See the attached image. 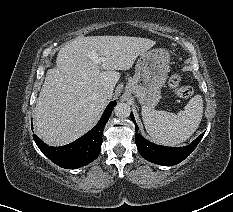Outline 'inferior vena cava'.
<instances>
[{
	"instance_id": "1",
	"label": "inferior vena cava",
	"mask_w": 233,
	"mask_h": 212,
	"mask_svg": "<svg viewBox=\"0 0 233 212\" xmlns=\"http://www.w3.org/2000/svg\"><path fill=\"white\" fill-rule=\"evenodd\" d=\"M101 94H102L104 97H109V96H111L112 92H111V90H109L108 88H102V89H101Z\"/></svg>"
}]
</instances>
